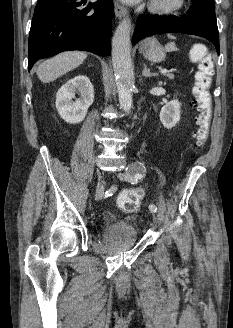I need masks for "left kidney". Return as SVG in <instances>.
<instances>
[{
    "label": "left kidney",
    "mask_w": 233,
    "mask_h": 328,
    "mask_svg": "<svg viewBox=\"0 0 233 328\" xmlns=\"http://www.w3.org/2000/svg\"><path fill=\"white\" fill-rule=\"evenodd\" d=\"M181 104L177 99H173L166 103L160 111V121L166 129L176 126L180 120Z\"/></svg>",
    "instance_id": "5707ae66"
}]
</instances>
